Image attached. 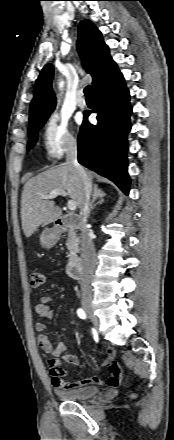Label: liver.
Instances as JSON below:
<instances>
[{
  "label": "liver",
  "instance_id": "liver-1",
  "mask_svg": "<svg viewBox=\"0 0 174 440\" xmlns=\"http://www.w3.org/2000/svg\"><path fill=\"white\" fill-rule=\"evenodd\" d=\"M92 184L93 174L86 171ZM61 189L74 200L81 209L84 192L81 179L72 164L64 163L31 178L23 188L21 198L22 229L26 237H30L40 225H48L56 221L62 214L54 201L42 199L52 191Z\"/></svg>",
  "mask_w": 174,
  "mask_h": 440
}]
</instances>
